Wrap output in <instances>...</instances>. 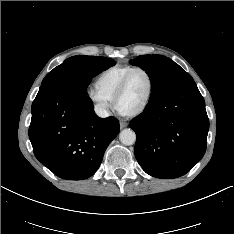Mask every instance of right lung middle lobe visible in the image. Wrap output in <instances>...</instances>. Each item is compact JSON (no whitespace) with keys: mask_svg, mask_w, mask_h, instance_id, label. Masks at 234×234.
Wrapping results in <instances>:
<instances>
[{"mask_svg":"<svg viewBox=\"0 0 234 234\" xmlns=\"http://www.w3.org/2000/svg\"><path fill=\"white\" fill-rule=\"evenodd\" d=\"M114 64V60L102 56H73L49 72L41 85L68 78L86 92L91 79Z\"/></svg>","mask_w":234,"mask_h":234,"instance_id":"right-lung-middle-lobe-1","label":"right lung middle lobe"}]
</instances>
